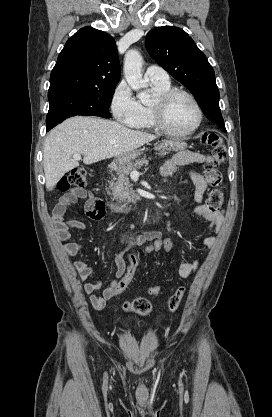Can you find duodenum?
I'll return each instance as SVG.
<instances>
[{
    "instance_id": "obj_1",
    "label": "duodenum",
    "mask_w": 272,
    "mask_h": 417,
    "mask_svg": "<svg viewBox=\"0 0 272 417\" xmlns=\"http://www.w3.org/2000/svg\"><path fill=\"white\" fill-rule=\"evenodd\" d=\"M109 208L115 213H125L130 210V208H125L114 203H109Z\"/></svg>"
}]
</instances>
